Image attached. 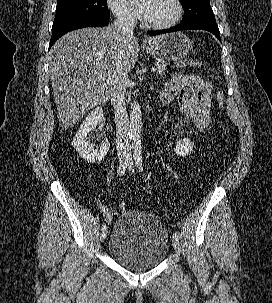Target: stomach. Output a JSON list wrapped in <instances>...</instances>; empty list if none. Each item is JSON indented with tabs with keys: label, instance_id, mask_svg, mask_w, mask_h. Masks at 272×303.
Instances as JSON below:
<instances>
[{
	"label": "stomach",
	"instance_id": "0dacf381",
	"mask_svg": "<svg viewBox=\"0 0 272 303\" xmlns=\"http://www.w3.org/2000/svg\"><path fill=\"white\" fill-rule=\"evenodd\" d=\"M193 47V42L180 32L165 35L156 43L146 47L147 53L163 60H181Z\"/></svg>",
	"mask_w": 272,
	"mask_h": 303
}]
</instances>
